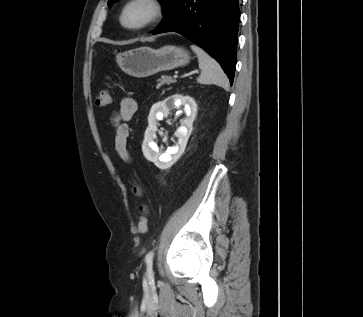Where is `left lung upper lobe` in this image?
<instances>
[{"mask_svg":"<svg viewBox=\"0 0 363 317\" xmlns=\"http://www.w3.org/2000/svg\"><path fill=\"white\" fill-rule=\"evenodd\" d=\"M118 0H109L108 1V5H111L112 3L116 2ZM162 6H163V10L168 6V4L171 2V0H160Z\"/></svg>","mask_w":363,"mask_h":317,"instance_id":"left-lung-upper-lobe-1","label":"left lung upper lobe"}]
</instances>
